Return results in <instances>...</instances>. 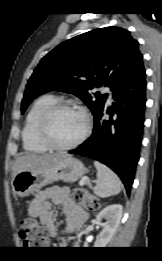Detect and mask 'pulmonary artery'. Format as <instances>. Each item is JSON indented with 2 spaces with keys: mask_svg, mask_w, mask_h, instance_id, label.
<instances>
[{
  "mask_svg": "<svg viewBox=\"0 0 162 261\" xmlns=\"http://www.w3.org/2000/svg\"><path fill=\"white\" fill-rule=\"evenodd\" d=\"M103 91L108 94V100L111 101L112 100V94H111L109 88L105 87L103 89Z\"/></svg>",
  "mask_w": 162,
  "mask_h": 261,
  "instance_id": "obj_1",
  "label": "pulmonary artery"
}]
</instances>
